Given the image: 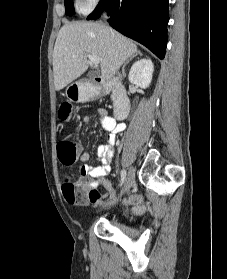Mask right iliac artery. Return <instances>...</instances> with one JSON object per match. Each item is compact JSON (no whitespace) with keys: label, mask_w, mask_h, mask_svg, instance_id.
Segmentation results:
<instances>
[{"label":"right iliac artery","mask_w":227,"mask_h":279,"mask_svg":"<svg viewBox=\"0 0 227 279\" xmlns=\"http://www.w3.org/2000/svg\"><path fill=\"white\" fill-rule=\"evenodd\" d=\"M125 178H126V171L122 170L121 171V184H120V186H122V184L124 183Z\"/></svg>","instance_id":"obj_1"}]
</instances>
